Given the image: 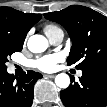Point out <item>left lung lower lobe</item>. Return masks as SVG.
<instances>
[{
    "mask_svg": "<svg viewBox=\"0 0 107 107\" xmlns=\"http://www.w3.org/2000/svg\"><path fill=\"white\" fill-rule=\"evenodd\" d=\"M79 79V83L60 92L63 104L66 107H106L107 68L83 69Z\"/></svg>",
    "mask_w": 107,
    "mask_h": 107,
    "instance_id": "obj_1",
    "label": "left lung lower lobe"
}]
</instances>
